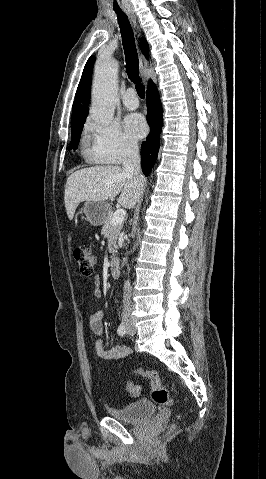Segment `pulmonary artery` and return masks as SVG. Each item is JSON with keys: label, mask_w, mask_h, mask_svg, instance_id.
<instances>
[{"label": "pulmonary artery", "mask_w": 266, "mask_h": 479, "mask_svg": "<svg viewBox=\"0 0 266 479\" xmlns=\"http://www.w3.org/2000/svg\"><path fill=\"white\" fill-rule=\"evenodd\" d=\"M123 103L128 109H136L139 106V100L136 91L128 88L123 95Z\"/></svg>", "instance_id": "pulmonary-artery-1"}]
</instances>
